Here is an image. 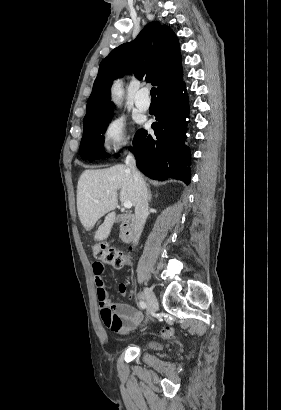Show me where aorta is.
Segmentation results:
<instances>
[{"mask_svg":"<svg viewBox=\"0 0 281 410\" xmlns=\"http://www.w3.org/2000/svg\"><path fill=\"white\" fill-rule=\"evenodd\" d=\"M111 90H112L113 101L115 102V104H120V101L123 95V90L121 88L120 83L118 82L114 83Z\"/></svg>","mask_w":281,"mask_h":410,"instance_id":"762f6f07","label":"aorta"}]
</instances>
